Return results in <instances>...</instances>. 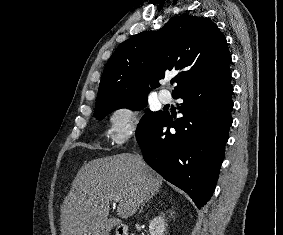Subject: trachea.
<instances>
[{"instance_id": "trachea-1", "label": "trachea", "mask_w": 283, "mask_h": 235, "mask_svg": "<svg viewBox=\"0 0 283 235\" xmlns=\"http://www.w3.org/2000/svg\"><path fill=\"white\" fill-rule=\"evenodd\" d=\"M174 83V81H171V84H173Z\"/></svg>"}]
</instances>
